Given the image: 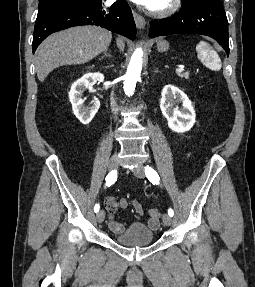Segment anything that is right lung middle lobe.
<instances>
[{
  "mask_svg": "<svg viewBox=\"0 0 255 287\" xmlns=\"http://www.w3.org/2000/svg\"><path fill=\"white\" fill-rule=\"evenodd\" d=\"M39 2L38 13L54 7L72 5H92L95 7H101L102 5V0H39Z\"/></svg>",
  "mask_w": 255,
  "mask_h": 287,
  "instance_id": "right-lung-middle-lobe-1",
  "label": "right lung middle lobe"
}]
</instances>
